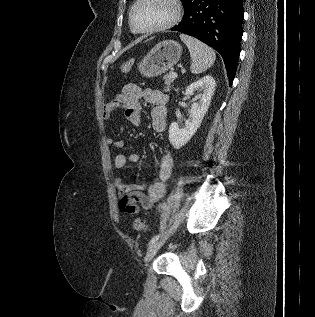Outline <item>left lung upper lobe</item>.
<instances>
[{
    "instance_id": "1",
    "label": "left lung upper lobe",
    "mask_w": 315,
    "mask_h": 317,
    "mask_svg": "<svg viewBox=\"0 0 315 317\" xmlns=\"http://www.w3.org/2000/svg\"><path fill=\"white\" fill-rule=\"evenodd\" d=\"M193 0H181L184 6V10H186Z\"/></svg>"
}]
</instances>
